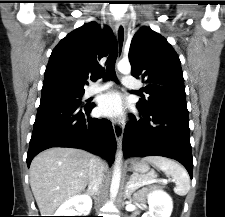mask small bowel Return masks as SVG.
<instances>
[{
    "label": "small bowel",
    "instance_id": "c3829d8e",
    "mask_svg": "<svg viewBox=\"0 0 225 217\" xmlns=\"http://www.w3.org/2000/svg\"><path fill=\"white\" fill-rule=\"evenodd\" d=\"M151 191H152V188L142 189L136 196L137 202H142Z\"/></svg>",
    "mask_w": 225,
    "mask_h": 217
}]
</instances>
